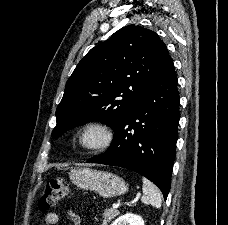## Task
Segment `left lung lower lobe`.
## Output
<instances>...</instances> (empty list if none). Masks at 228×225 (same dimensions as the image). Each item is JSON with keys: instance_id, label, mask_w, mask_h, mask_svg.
I'll list each match as a JSON object with an SVG mask.
<instances>
[{"instance_id": "obj_1", "label": "left lung lower lobe", "mask_w": 228, "mask_h": 225, "mask_svg": "<svg viewBox=\"0 0 228 225\" xmlns=\"http://www.w3.org/2000/svg\"><path fill=\"white\" fill-rule=\"evenodd\" d=\"M179 118L177 76L171 59L121 118L109 149L87 162L137 172L156 184L166 200L171 185Z\"/></svg>"}]
</instances>
